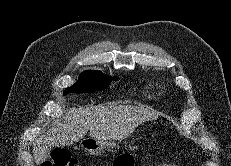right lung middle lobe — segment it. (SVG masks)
Segmentation results:
<instances>
[{
    "label": "right lung middle lobe",
    "instance_id": "dd1d6c3e",
    "mask_svg": "<svg viewBox=\"0 0 231 166\" xmlns=\"http://www.w3.org/2000/svg\"><path fill=\"white\" fill-rule=\"evenodd\" d=\"M116 80V79H115ZM112 81V77L103 74L101 71L87 70L79 75L78 81L71 87L64 90L68 93H92L106 89Z\"/></svg>",
    "mask_w": 231,
    "mask_h": 166
}]
</instances>
